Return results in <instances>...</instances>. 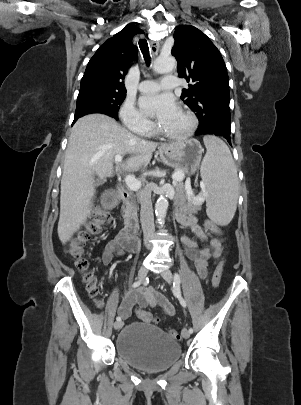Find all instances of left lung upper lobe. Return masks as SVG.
<instances>
[{"label":"left lung upper lobe","mask_w":301,"mask_h":405,"mask_svg":"<svg viewBox=\"0 0 301 405\" xmlns=\"http://www.w3.org/2000/svg\"><path fill=\"white\" fill-rule=\"evenodd\" d=\"M174 39L172 55L178 62L179 77L191 83L182 90L181 98L196 113L199 127L212 124L230 127L229 79L219 50L191 25L178 27Z\"/></svg>","instance_id":"left-lung-upper-lobe-1"}]
</instances>
